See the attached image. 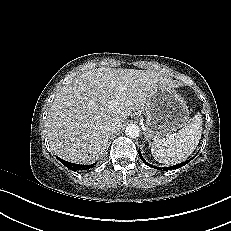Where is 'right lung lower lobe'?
Returning a JSON list of instances; mask_svg holds the SVG:
<instances>
[{
  "instance_id": "right-lung-lower-lobe-1",
  "label": "right lung lower lobe",
  "mask_w": 231,
  "mask_h": 231,
  "mask_svg": "<svg viewBox=\"0 0 231 231\" xmlns=\"http://www.w3.org/2000/svg\"><path fill=\"white\" fill-rule=\"evenodd\" d=\"M57 159L63 164L65 165L67 168H69L70 170H73V171H77V170H86V169H89V168H92L94 167L95 164L93 165H80V164H74V163H70V162H67L65 160H62L60 158L57 157Z\"/></svg>"
}]
</instances>
